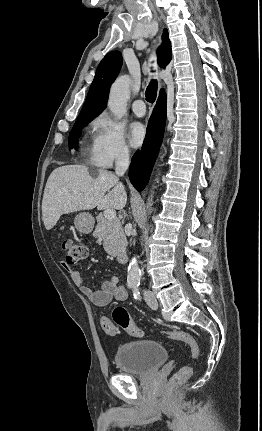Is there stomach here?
<instances>
[{"label":"stomach","mask_w":262,"mask_h":431,"mask_svg":"<svg viewBox=\"0 0 262 431\" xmlns=\"http://www.w3.org/2000/svg\"><path fill=\"white\" fill-rule=\"evenodd\" d=\"M74 224L78 232L89 234L94 227V218L89 213L81 212L75 216Z\"/></svg>","instance_id":"stomach-1"}]
</instances>
